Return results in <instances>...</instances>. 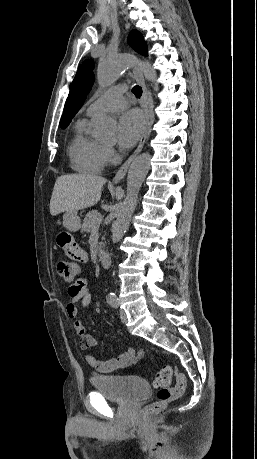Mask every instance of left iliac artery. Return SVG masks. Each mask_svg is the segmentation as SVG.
<instances>
[{
  "label": "left iliac artery",
  "instance_id": "1",
  "mask_svg": "<svg viewBox=\"0 0 257 459\" xmlns=\"http://www.w3.org/2000/svg\"><path fill=\"white\" fill-rule=\"evenodd\" d=\"M108 300H109L110 305H111L113 308H117V307H118V298H117V296H116L114 293H111V294L108 296Z\"/></svg>",
  "mask_w": 257,
  "mask_h": 459
}]
</instances>
